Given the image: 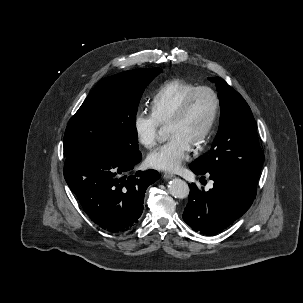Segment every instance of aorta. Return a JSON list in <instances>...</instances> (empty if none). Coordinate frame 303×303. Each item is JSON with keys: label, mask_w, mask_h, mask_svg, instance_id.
Listing matches in <instances>:
<instances>
[{"label": "aorta", "mask_w": 303, "mask_h": 303, "mask_svg": "<svg viewBox=\"0 0 303 303\" xmlns=\"http://www.w3.org/2000/svg\"><path fill=\"white\" fill-rule=\"evenodd\" d=\"M168 190L173 197L178 199H184L188 197L190 191L188 184L179 178H175L169 182Z\"/></svg>", "instance_id": "762f6f07"}]
</instances>
